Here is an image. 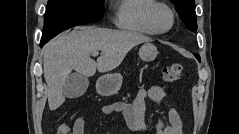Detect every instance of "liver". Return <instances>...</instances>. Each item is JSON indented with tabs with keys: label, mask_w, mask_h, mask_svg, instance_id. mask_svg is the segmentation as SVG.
<instances>
[{
	"label": "liver",
	"mask_w": 239,
	"mask_h": 134,
	"mask_svg": "<svg viewBox=\"0 0 239 134\" xmlns=\"http://www.w3.org/2000/svg\"><path fill=\"white\" fill-rule=\"evenodd\" d=\"M151 39L138 32L85 26L51 40L44 49V78L51 111L65 101L64 83L72 70L91 77L117 68L136 45ZM101 51L97 61L90 55Z\"/></svg>",
	"instance_id": "6515ba94"
}]
</instances>
